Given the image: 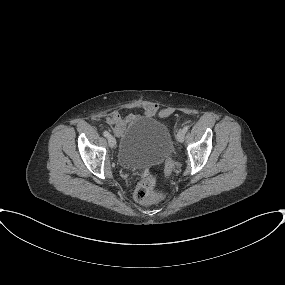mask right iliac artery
I'll return each instance as SVG.
<instances>
[{
    "mask_svg": "<svg viewBox=\"0 0 285 285\" xmlns=\"http://www.w3.org/2000/svg\"><path fill=\"white\" fill-rule=\"evenodd\" d=\"M103 135H104L105 137H107V138L110 136V134H109L107 131H104V132H103Z\"/></svg>",
    "mask_w": 285,
    "mask_h": 285,
    "instance_id": "right-iliac-artery-1",
    "label": "right iliac artery"
}]
</instances>
